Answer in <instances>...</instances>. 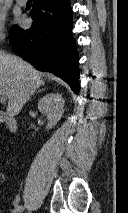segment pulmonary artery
<instances>
[{"instance_id":"1","label":"pulmonary artery","mask_w":128,"mask_h":213,"mask_svg":"<svg viewBox=\"0 0 128 213\" xmlns=\"http://www.w3.org/2000/svg\"><path fill=\"white\" fill-rule=\"evenodd\" d=\"M16 2L19 6H25L27 3V0H16Z\"/></svg>"}]
</instances>
